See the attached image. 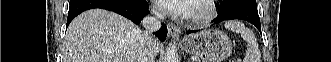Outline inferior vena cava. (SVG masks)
<instances>
[{"label": "inferior vena cava", "instance_id": "602c4592", "mask_svg": "<svg viewBox=\"0 0 331 62\" xmlns=\"http://www.w3.org/2000/svg\"><path fill=\"white\" fill-rule=\"evenodd\" d=\"M164 17V14L153 10L151 16L142 20L143 26L148 32L143 33L136 44L135 62H154L153 43L156 40L152 32L159 30Z\"/></svg>", "mask_w": 331, "mask_h": 62}]
</instances>
